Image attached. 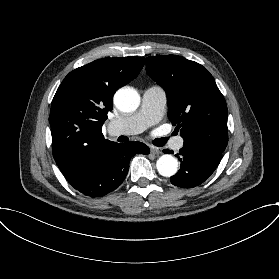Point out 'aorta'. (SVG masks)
<instances>
[{"instance_id": "obj_1", "label": "aorta", "mask_w": 279, "mask_h": 279, "mask_svg": "<svg viewBox=\"0 0 279 279\" xmlns=\"http://www.w3.org/2000/svg\"><path fill=\"white\" fill-rule=\"evenodd\" d=\"M114 104L121 111L131 112L138 108L140 96L133 88H121L114 95ZM156 168L160 175L171 177L178 170V161L174 156L164 154L157 160Z\"/></svg>"}]
</instances>
